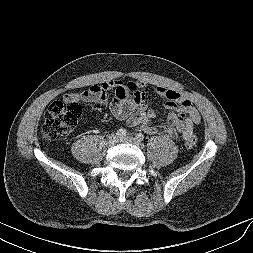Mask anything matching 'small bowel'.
Returning a JSON list of instances; mask_svg holds the SVG:
<instances>
[{
  "label": "small bowel",
  "instance_id": "1",
  "mask_svg": "<svg viewBox=\"0 0 253 253\" xmlns=\"http://www.w3.org/2000/svg\"><path fill=\"white\" fill-rule=\"evenodd\" d=\"M145 85L142 80L124 83L120 79H111L82 91L70 92L64 99L105 105L109 91L114 90L110 110L116 119L125 121L128 126H140L149 134H162L172 139L181 137L187 140L193 136V126L201 121V116L192 102L176 90L157 86L154 91L165 99L169 113L166 124L152 125L150 121L155 114L146 103Z\"/></svg>",
  "mask_w": 253,
  "mask_h": 253
}]
</instances>
